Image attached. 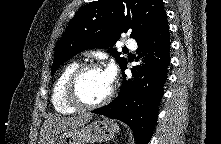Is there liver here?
I'll return each mask as SVG.
<instances>
[{
  "mask_svg": "<svg viewBox=\"0 0 221 144\" xmlns=\"http://www.w3.org/2000/svg\"><path fill=\"white\" fill-rule=\"evenodd\" d=\"M91 114L74 117H51L44 121L40 133V144H47L55 135L74 128L81 127L89 122Z\"/></svg>",
  "mask_w": 221,
  "mask_h": 144,
  "instance_id": "6515ba94",
  "label": "liver"
}]
</instances>
